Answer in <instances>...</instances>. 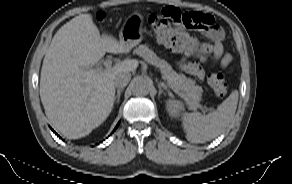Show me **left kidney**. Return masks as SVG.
Masks as SVG:
<instances>
[{"instance_id":"1","label":"left kidney","mask_w":292,"mask_h":184,"mask_svg":"<svg viewBox=\"0 0 292 184\" xmlns=\"http://www.w3.org/2000/svg\"><path fill=\"white\" fill-rule=\"evenodd\" d=\"M166 108L170 116L176 117L184 109V105L179 100L170 99L167 101Z\"/></svg>"}]
</instances>
